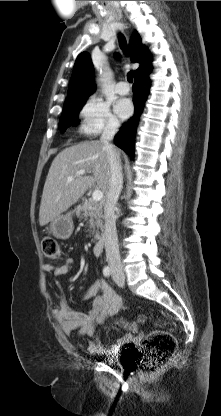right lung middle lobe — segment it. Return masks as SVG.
<instances>
[{
	"instance_id": "dd1d6c3e",
	"label": "right lung middle lobe",
	"mask_w": 221,
	"mask_h": 416,
	"mask_svg": "<svg viewBox=\"0 0 221 416\" xmlns=\"http://www.w3.org/2000/svg\"><path fill=\"white\" fill-rule=\"evenodd\" d=\"M86 98L75 101L65 102L63 108V115L61 118L60 129L65 131L71 125H77L79 120L77 119L78 114L85 104Z\"/></svg>"
}]
</instances>
